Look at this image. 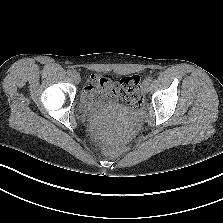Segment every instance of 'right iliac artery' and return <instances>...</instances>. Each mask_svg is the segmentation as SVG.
<instances>
[{"instance_id": "right-iliac-artery-1", "label": "right iliac artery", "mask_w": 223, "mask_h": 223, "mask_svg": "<svg viewBox=\"0 0 223 223\" xmlns=\"http://www.w3.org/2000/svg\"><path fill=\"white\" fill-rule=\"evenodd\" d=\"M67 74H68L69 76L72 75V74H73L72 70H68V71H67Z\"/></svg>"}]
</instances>
